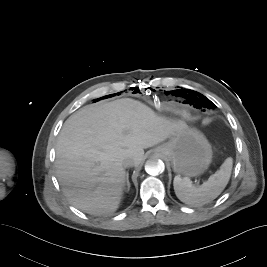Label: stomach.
Returning a JSON list of instances; mask_svg holds the SVG:
<instances>
[{
	"label": "stomach",
	"instance_id": "0dacf381",
	"mask_svg": "<svg viewBox=\"0 0 267 267\" xmlns=\"http://www.w3.org/2000/svg\"><path fill=\"white\" fill-rule=\"evenodd\" d=\"M154 153L169 161L174 172L187 178L203 174L212 162L208 140L201 132L189 127L175 132Z\"/></svg>",
	"mask_w": 267,
	"mask_h": 267
}]
</instances>
